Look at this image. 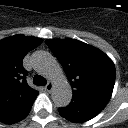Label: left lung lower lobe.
<instances>
[{"label":"left lung lower lobe","mask_w":128,"mask_h":128,"mask_svg":"<svg viewBox=\"0 0 128 128\" xmlns=\"http://www.w3.org/2000/svg\"><path fill=\"white\" fill-rule=\"evenodd\" d=\"M106 105L87 101H71L65 108H59V113L64 118L80 123L94 118Z\"/></svg>","instance_id":"obj_1"}]
</instances>
